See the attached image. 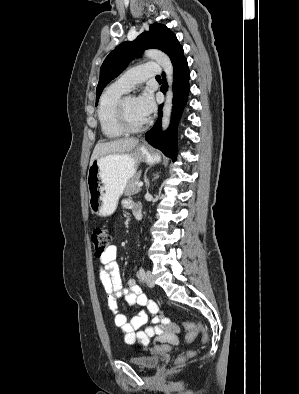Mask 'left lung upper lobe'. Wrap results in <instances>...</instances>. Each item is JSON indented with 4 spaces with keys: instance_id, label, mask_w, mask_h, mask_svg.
Segmentation results:
<instances>
[{
    "instance_id": "1",
    "label": "left lung upper lobe",
    "mask_w": 299,
    "mask_h": 394,
    "mask_svg": "<svg viewBox=\"0 0 299 394\" xmlns=\"http://www.w3.org/2000/svg\"><path fill=\"white\" fill-rule=\"evenodd\" d=\"M156 48L165 52L171 59L182 49L175 34L165 25L154 23L149 31L139 35L132 42H124L117 46L104 60L100 69V78L96 89V105L104 87L117 77L145 49Z\"/></svg>"
}]
</instances>
